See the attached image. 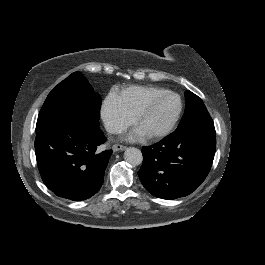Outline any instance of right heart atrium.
Instances as JSON below:
<instances>
[{
    "label": "right heart atrium",
    "mask_w": 265,
    "mask_h": 265,
    "mask_svg": "<svg viewBox=\"0 0 265 265\" xmlns=\"http://www.w3.org/2000/svg\"><path fill=\"white\" fill-rule=\"evenodd\" d=\"M101 120L110 134H120L134 122V117L125 113L114 98L107 99L101 109Z\"/></svg>",
    "instance_id": "1"
}]
</instances>
